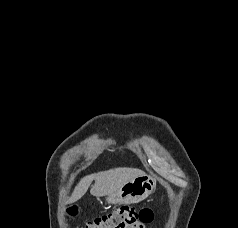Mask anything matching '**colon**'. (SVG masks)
Masks as SVG:
<instances>
[{
    "label": "colon",
    "instance_id": "5ec220e1",
    "mask_svg": "<svg viewBox=\"0 0 238 228\" xmlns=\"http://www.w3.org/2000/svg\"><path fill=\"white\" fill-rule=\"evenodd\" d=\"M76 208H70V215L76 214ZM154 218V211L148 207L136 208L122 205L113 210L96 216L79 228H137L146 225Z\"/></svg>",
    "mask_w": 238,
    "mask_h": 228
}]
</instances>
